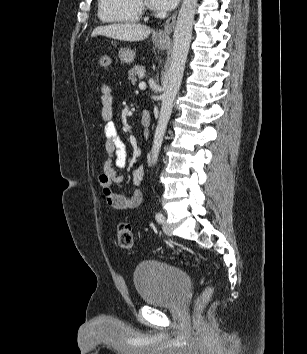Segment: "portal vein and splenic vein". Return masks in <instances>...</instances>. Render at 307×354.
Listing matches in <instances>:
<instances>
[{
    "mask_svg": "<svg viewBox=\"0 0 307 354\" xmlns=\"http://www.w3.org/2000/svg\"><path fill=\"white\" fill-rule=\"evenodd\" d=\"M145 88H146V83L143 82V81L140 82V83H139V89H142V90H143V89H145Z\"/></svg>",
    "mask_w": 307,
    "mask_h": 354,
    "instance_id": "obj_1",
    "label": "portal vein and splenic vein"
}]
</instances>
